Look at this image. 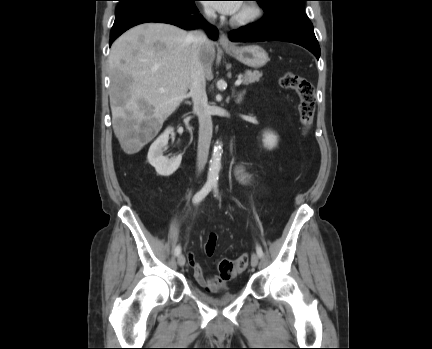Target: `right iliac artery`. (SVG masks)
<instances>
[{"instance_id":"1","label":"right iliac artery","mask_w":432,"mask_h":349,"mask_svg":"<svg viewBox=\"0 0 432 349\" xmlns=\"http://www.w3.org/2000/svg\"><path fill=\"white\" fill-rule=\"evenodd\" d=\"M212 187H213V184L210 183V182H207L202 187V189L194 195V197L192 199V202L194 204H198L200 201H202L208 195V193L211 191ZM174 253H175V256H179L180 255V253H181V247H180V245L176 246Z\"/></svg>"}]
</instances>
